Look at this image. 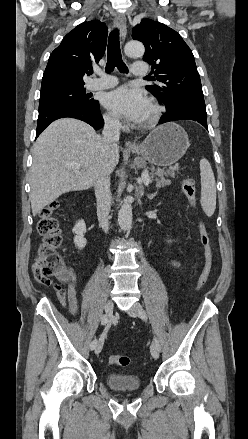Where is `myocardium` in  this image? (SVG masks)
Segmentation results:
<instances>
[{
  "label": "myocardium",
  "instance_id": "obj_1",
  "mask_svg": "<svg viewBox=\"0 0 248 439\" xmlns=\"http://www.w3.org/2000/svg\"><path fill=\"white\" fill-rule=\"evenodd\" d=\"M149 107L150 115L140 123L139 127L141 129H151L155 127L162 116V108L156 102H150Z\"/></svg>",
  "mask_w": 248,
  "mask_h": 439
}]
</instances>
